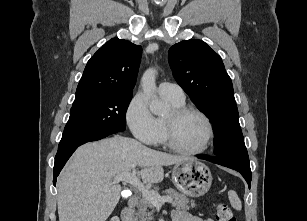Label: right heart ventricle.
Here are the masks:
<instances>
[{
	"label": "right heart ventricle",
	"instance_id": "1",
	"mask_svg": "<svg viewBox=\"0 0 307 221\" xmlns=\"http://www.w3.org/2000/svg\"><path fill=\"white\" fill-rule=\"evenodd\" d=\"M165 98V97H164ZM173 107H181L184 105V101L183 102H176L173 101L171 99L165 98ZM157 121V127H158V134L156 137V142L155 144H161L164 142V118L162 117H158L156 119Z\"/></svg>",
	"mask_w": 307,
	"mask_h": 221
}]
</instances>
